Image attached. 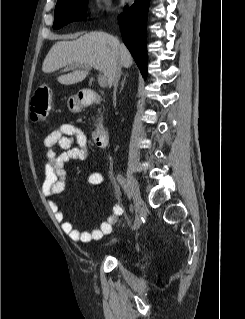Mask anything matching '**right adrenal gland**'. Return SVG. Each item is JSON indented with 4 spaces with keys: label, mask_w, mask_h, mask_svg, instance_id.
Wrapping results in <instances>:
<instances>
[{
    "label": "right adrenal gland",
    "mask_w": 245,
    "mask_h": 319,
    "mask_svg": "<svg viewBox=\"0 0 245 319\" xmlns=\"http://www.w3.org/2000/svg\"><path fill=\"white\" fill-rule=\"evenodd\" d=\"M126 77H127V74L124 75L123 80L121 81L120 92L124 89V85H125V82H126Z\"/></svg>",
    "instance_id": "2a0ac1e0"
}]
</instances>
